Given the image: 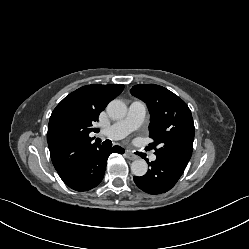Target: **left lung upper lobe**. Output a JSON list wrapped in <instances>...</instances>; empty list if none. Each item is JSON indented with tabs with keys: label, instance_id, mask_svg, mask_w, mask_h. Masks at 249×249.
<instances>
[{
	"label": "left lung upper lobe",
	"instance_id": "5c2ea615",
	"mask_svg": "<svg viewBox=\"0 0 249 249\" xmlns=\"http://www.w3.org/2000/svg\"><path fill=\"white\" fill-rule=\"evenodd\" d=\"M131 94L149 109L151 143L155 155L187 166L193 150L194 123L187 104L168 89L155 84H139Z\"/></svg>",
	"mask_w": 249,
	"mask_h": 249
}]
</instances>
